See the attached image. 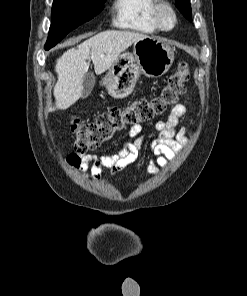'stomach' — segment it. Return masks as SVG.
Segmentation results:
<instances>
[{
	"mask_svg": "<svg viewBox=\"0 0 247 296\" xmlns=\"http://www.w3.org/2000/svg\"><path fill=\"white\" fill-rule=\"evenodd\" d=\"M174 61V49L156 37L136 41L133 53H123L101 77V85L117 99L129 96L140 75L158 78Z\"/></svg>",
	"mask_w": 247,
	"mask_h": 296,
	"instance_id": "0dacf381",
	"label": "stomach"
}]
</instances>
